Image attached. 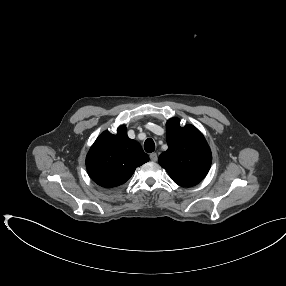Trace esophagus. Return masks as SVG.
<instances>
[{
	"instance_id": "obj_1",
	"label": "esophagus",
	"mask_w": 286,
	"mask_h": 286,
	"mask_svg": "<svg viewBox=\"0 0 286 286\" xmlns=\"http://www.w3.org/2000/svg\"><path fill=\"white\" fill-rule=\"evenodd\" d=\"M150 159L152 160V161H157V159H158V156H157V154L156 153H151L150 154Z\"/></svg>"
}]
</instances>
